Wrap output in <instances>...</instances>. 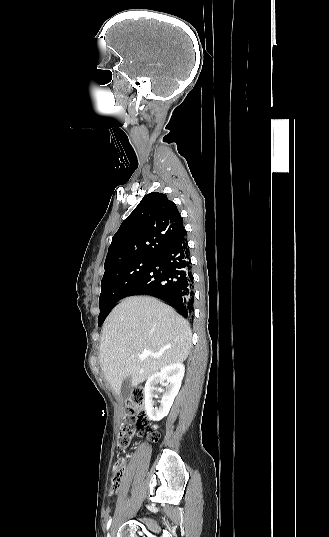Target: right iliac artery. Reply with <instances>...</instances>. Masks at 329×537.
<instances>
[{"instance_id": "82829eb1", "label": "right iliac artery", "mask_w": 329, "mask_h": 537, "mask_svg": "<svg viewBox=\"0 0 329 537\" xmlns=\"http://www.w3.org/2000/svg\"><path fill=\"white\" fill-rule=\"evenodd\" d=\"M111 523H112V518H110L109 521H108V523H107V530L110 528Z\"/></svg>"}]
</instances>
